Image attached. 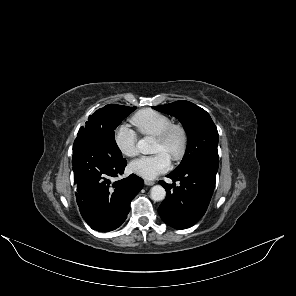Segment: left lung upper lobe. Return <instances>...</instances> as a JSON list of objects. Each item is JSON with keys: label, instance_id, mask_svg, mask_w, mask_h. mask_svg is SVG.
<instances>
[{"label": "left lung upper lobe", "instance_id": "5c2ea615", "mask_svg": "<svg viewBox=\"0 0 296 296\" xmlns=\"http://www.w3.org/2000/svg\"><path fill=\"white\" fill-rule=\"evenodd\" d=\"M153 109L178 118L188 134V144L180 165L182 171L195 163L218 160V131L208 112L189 101H177Z\"/></svg>", "mask_w": 296, "mask_h": 296}]
</instances>
